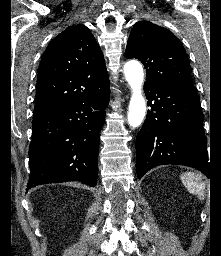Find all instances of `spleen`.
Instances as JSON below:
<instances>
[{"label": "spleen", "instance_id": "spleen-1", "mask_svg": "<svg viewBox=\"0 0 221 256\" xmlns=\"http://www.w3.org/2000/svg\"><path fill=\"white\" fill-rule=\"evenodd\" d=\"M181 180L191 194L197 195L198 198L202 200L204 199L205 184L200 175L193 172H187L181 176Z\"/></svg>", "mask_w": 221, "mask_h": 256}]
</instances>
